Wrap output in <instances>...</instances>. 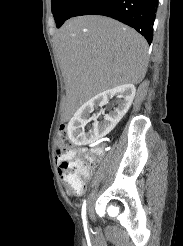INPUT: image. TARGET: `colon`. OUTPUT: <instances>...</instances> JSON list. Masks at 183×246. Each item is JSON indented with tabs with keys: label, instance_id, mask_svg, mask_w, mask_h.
I'll list each match as a JSON object with an SVG mask.
<instances>
[{
	"label": "colon",
	"instance_id": "obj_1",
	"mask_svg": "<svg viewBox=\"0 0 183 246\" xmlns=\"http://www.w3.org/2000/svg\"><path fill=\"white\" fill-rule=\"evenodd\" d=\"M71 148L68 130L60 127L55 145L56 154L61 157L67 154ZM102 154V149H94L87 155L85 161L63 160L60 162V169L67 174L69 180V191L78 192L83 188L84 181L90 173V164Z\"/></svg>",
	"mask_w": 183,
	"mask_h": 246
}]
</instances>
